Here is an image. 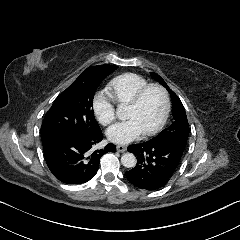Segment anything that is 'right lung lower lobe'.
I'll use <instances>...</instances> for the list:
<instances>
[{
  "label": "right lung lower lobe",
  "mask_w": 240,
  "mask_h": 240,
  "mask_svg": "<svg viewBox=\"0 0 240 240\" xmlns=\"http://www.w3.org/2000/svg\"><path fill=\"white\" fill-rule=\"evenodd\" d=\"M103 139L102 131L94 134L56 135L42 141L43 151L51 173L65 184H82L97 173L100 158L116 152L109 143L103 149L94 145Z\"/></svg>",
  "instance_id": "right-lung-lower-lobe-1"
}]
</instances>
